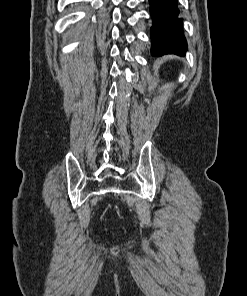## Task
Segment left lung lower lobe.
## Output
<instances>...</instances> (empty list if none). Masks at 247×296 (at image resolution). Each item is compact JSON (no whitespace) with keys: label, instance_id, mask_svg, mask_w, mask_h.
<instances>
[{"label":"left lung lower lobe","instance_id":"left-lung-lower-lobe-1","mask_svg":"<svg viewBox=\"0 0 247 296\" xmlns=\"http://www.w3.org/2000/svg\"><path fill=\"white\" fill-rule=\"evenodd\" d=\"M153 19L151 39L153 56L164 54L185 55L187 43L179 18L177 0H149Z\"/></svg>","mask_w":247,"mask_h":296}]
</instances>
